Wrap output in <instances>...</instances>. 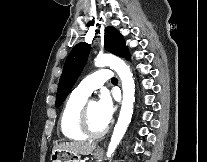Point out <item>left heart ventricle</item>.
Returning <instances> with one entry per match:
<instances>
[{
  "instance_id": "obj_1",
  "label": "left heart ventricle",
  "mask_w": 207,
  "mask_h": 162,
  "mask_svg": "<svg viewBox=\"0 0 207 162\" xmlns=\"http://www.w3.org/2000/svg\"><path fill=\"white\" fill-rule=\"evenodd\" d=\"M89 123L90 127L94 131H99L106 126L105 122L101 117L98 103H96L95 101H92L89 106Z\"/></svg>"
}]
</instances>
